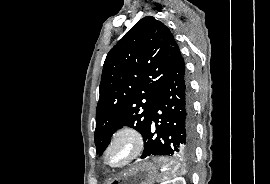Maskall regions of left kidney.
<instances>
[{"label": "left kidney", "mask_w": 270, "mask_h": 184, "mask_svg": "<svg viewBox=\"0 0 270 184\" xmlns=\"http://www.w3.org/2000/svg\"><path fill=\"white\" fill-rule=\"evenodd\" d=\"M165 184H186V182L184 178L178 177L167 181Z\"/></svg>", "instance_id": "obj_1"}]
</instances>
